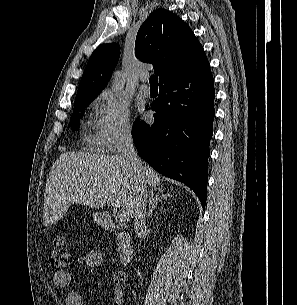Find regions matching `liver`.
I'll return each mask as SVG.
<instances>
[{
  "label": "liver",
  "instance_id": "liver-1",
  "mask_svg": "<svg viewBox=\"0 0 297 305\" xmlns=\"http://www.w3.org/2000/svg\"><path fill=\"white\" fill-rule=\"evenodd\" d=\"M146 184L160 186L158 173L142 165ZM135 181L122 155L64 152L53 164L45 187L43 224L60 220L72 203L90 208L122 207L133 217Z\"/></svg>",
  "mask_w": 297,
  "mask_h": 305
}]
</instances>
